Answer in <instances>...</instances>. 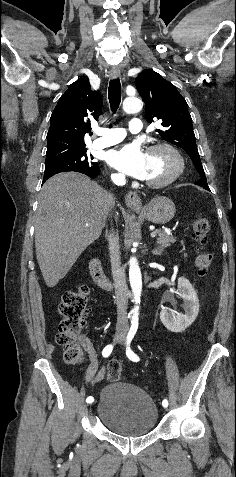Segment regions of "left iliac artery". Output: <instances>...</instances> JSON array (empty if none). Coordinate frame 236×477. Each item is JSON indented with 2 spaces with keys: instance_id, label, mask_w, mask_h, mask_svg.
Wrapping results in <instances>:
<instances>
[{
  "instance_id": "obj_1",
  "label": "left iliac artery",
  "mask_w": 236,
  "mask_h": 477,
  "mask_svg": "<svg viewBox=\"0 0 236 477\" xmlns=\"http://www.w3.org/2000/svg\"><path fill=\"white\" fill-rule=\"evenodd\" d=\"M137 328H138V323L137 322H134L132 323V326L130 328V331L127 335V348H126V354H127V357L134 361V362H138L140 359L139 357L130 349V343L134 337V335L136 334V331H137ZM167 405L168 406V401L167 399H164L162 401V405Z\"/></svg>"
}]
</instances>
